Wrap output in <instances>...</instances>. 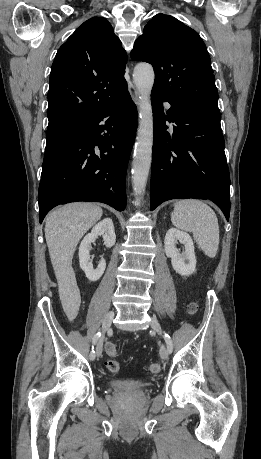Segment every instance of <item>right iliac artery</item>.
<instances>
[{"instance_id": "1", "label": "right iliac artery", "mask_w": 261, "mask_h": 459, "mask_svg": "<svg viewBox=\"0 0 261 459\" xmlns=\"http://www.w3.org/2000/svg\"><path fill=\"white\" fill-rule=\"evenodd\" d=\"M101 337V332H97L94 337H93V346H92V350L90 352V359L91 360H94L95 359V350H94V345H96V343L98 342L99 338Z\"/></svg>"}]
</instances>
